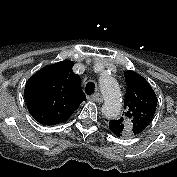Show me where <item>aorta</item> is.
Returning a JSON list of instances; mask_svg holds the SVG:
<instances>
[{"mask_svg": "<svg viewBox=\"0 0 177 177\" xmlns=\"http://www.w3.org/2000/svg\"><path fill=\"white\" fill-rule=\"evenodd\" d=\"M101 92L104 96L102 113L106 118H117L120 114L122 103L121 93L116 80L107 75H102L99 80Z\"/></svg>", "mask_w": 177, "mask_h": 177, "instance_id": "762f6f07", "label": "aorta"}]
</instances>
